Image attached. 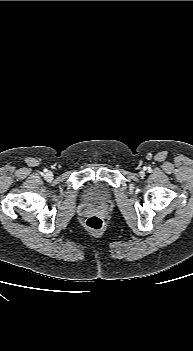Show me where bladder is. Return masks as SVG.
Returning a JSON list of instances; mask_svg holds the SVG:
<instances>
[{
    "label": "bladder",
    "mask_w": 193,
    "mask_h": 351,
    "mask_svg": "<svg viewBox=\"0 0 193 351\" xmlns=\"http://www.w3.org/2000/svg\"><path fill=\"white\" fill-rule=\"evenodd\" d=\"M110 196L109 189L100 182H90L86 185L83 197L89 202L103 201Z\"/></svg>",
    "instance_id": "31cf9c89"
}]
</instances>
